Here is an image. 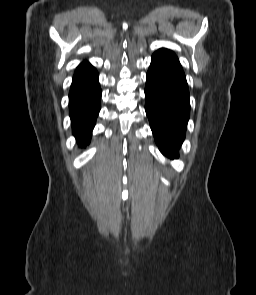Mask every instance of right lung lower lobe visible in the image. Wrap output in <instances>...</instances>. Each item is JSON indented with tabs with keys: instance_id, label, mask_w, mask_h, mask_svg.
I'll return each mask as SVG.
<instances>
[{
	"instance_id": "obj_1",
	"label": "right lung lower lobe",
	"mask_w": 256,
	"mask_h": 295,
	"mask_svg": "<svg viewBox=\"0 0 256 295\" xmlns=\"http://www.w3.org/2000/svg\"><path fill=\"white\" fill-rule=\"evenodd\" d=\"M101 89L96 69L87 61L76 69L69 92L73 135L81 147L89 142L100 110Z\"/></svg>"
}]
</instances>
